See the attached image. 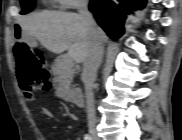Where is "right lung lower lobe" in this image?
<instances>
[{
	"label": "right lung lower lobe",
	"instance_id": "1",
	"mask_svg": "<svg viewBox=\"0 0 182 140\" xmlns=\"http://www.w3.org/2000/svg\"><path fill=\"white\" fill-rule=\"evenodd\" d=\"M146 0H92L89 9L109 37L118 39L124 33L126 18L145 7Z\"/></svg>",
	"mask_w": 182,
	"mask_h": 140
}]
</instances>
